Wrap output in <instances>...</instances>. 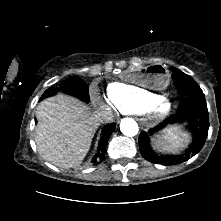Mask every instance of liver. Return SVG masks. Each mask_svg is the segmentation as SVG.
<instances>
[{"instance_id": "1", "label": "liver", "mask_w": 221, "mask_h": 221, "mask_svg": "<svg viewBox=\"0 0 221 221\" xmlns=\"http://www.w3.org/2000/svg\"><path fill=\"white\" fill-rule=\"evenodd\" d=\"M35 142L43 159L61 168L79 166L100 123L97 111L65 94L37 106Z\"/></svg>"}]
</instances>
